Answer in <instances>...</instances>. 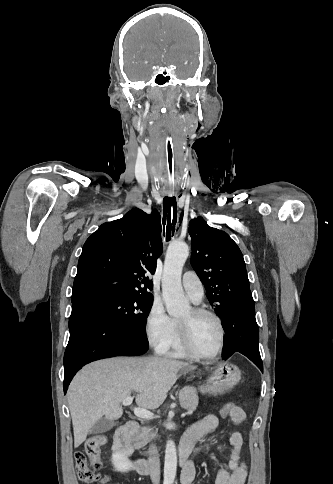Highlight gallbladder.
Returning a JSON list of instances; mask_svg holds the SVG:
<instances>
[{"instance_id":"gallbladder-1","label":"gallbladder","mask_w":333,"mask_h":484,"mask_svg":"<svg viewBox=\"0 0 333 484\" xmlns=\"http://www.w3.org/2000/svg\"><path fill=\"white\" fill-rule=\"evenodd\" d=\"M118 422L106 418H101L91 428L92 434H102L110 431L114 426H117Z\"/></svg>"}]
</instances>
